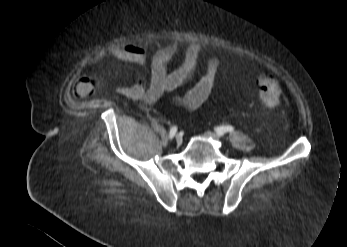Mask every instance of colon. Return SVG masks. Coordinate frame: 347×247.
Wrapping results in <instances>:
<instances>
[{"label":"colon","instance_id":"5ec220e1","mask_svg":"<svg viewBox=\"0 0 347 247\" xmlns=\"http://www.w3.org/2000/svg\"><path fill=\"white\" fill-rule=\"evenodd\" d=\"M257 95L268 107H275L280 102L279 81L272 74H263L257 79Z\"/></svg>","mask_w":347,"mask_h":247}]
</instances>
